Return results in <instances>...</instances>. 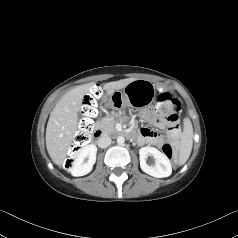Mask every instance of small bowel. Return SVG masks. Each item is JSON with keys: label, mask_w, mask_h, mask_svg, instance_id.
<instances>
[{"label": "small bowel", "mask_w": 238, "mask_h": 238, "mask_svg": "<svg viewBox=\"0 0 238 238\" xmlns=\"http://www.w3.org/2000/svg\"><path fill=\"white\" fill-rule=\"evenodd\" d=\"M143 118L153 122V124L159 129H164L167 127V132L165 137H162L149 129L142 128L137 133V139L141 144L152 145L160 148L164 144L178 146L181 143L182 134L180 127L176 122L166 123L162 120L154 119L149 112H143Z\"/></svg>", "instance_id": "obj_1"}]
</instances>
